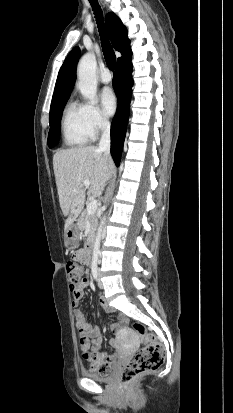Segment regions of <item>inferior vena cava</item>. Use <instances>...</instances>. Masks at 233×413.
Segmentation results:
<instances>
[{"label": "inferior vena cava", "instance_id": "1", "mask_svg": "<svg viewBox=\"0 0 233 413\" xmlns=\"http://www.w3.org/2000/svg\"><path fill=\"white\" fill-rule=\"evenodd\" d=\"M102 136L99 142V150L104 152L106 157L110 158V122L107 119L102 121Z\"/></svg>", "mask_w": 233, "mask_h": 413}]
</instances>
